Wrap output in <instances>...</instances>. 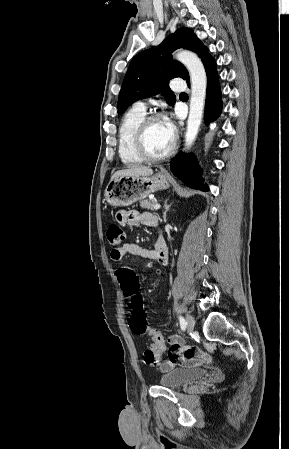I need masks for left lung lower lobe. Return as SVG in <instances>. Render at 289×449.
<instances>
[{
  "mask_svg": "<svg viewBox=\"0 0 289 449\" xmlns=\"http://www.w3.org/2000/svg\"><path fill=\"white\" fill-rule=\"evenodd\" d=\"M202 62L207 74L205 122L210 124L219 117L222 111V95L215 61L210 54H207L202 59ZM170 163L171 171L188 187L202 191L209 190L208 185L203 183L202 172L194 156L179 152Z\"/></svg>",
  "mask_w": 289,
  "mask_h": 449,
  "instance_id": "left-lung-lower-lobe-1",
  "label": "left lung lower lobe"
}]
</instances>
